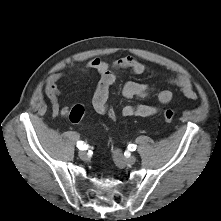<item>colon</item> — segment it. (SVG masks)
<instances>
[{"label": "colon", "mask_w": 221, "mask_h": 221, "mask_svg": "<svg viewBox=\"0 0 221 221\" xmlns=\"http://www.w3.org/2000/svg\"><path fill=\"white\" fill-rule=\"evenodd\" d=\"M105 114L110 123L117 124L120 121L119 114L115 111L116 105L113 102H108L105 105ZM85 115V107L83 105H75L69 112V119L74 123H78ZM162 118L166 122H172L175 118V113L172 109L166 108L162 111Z\"/></svg>", "instance_id": "obj_1"}]
</instances>
